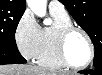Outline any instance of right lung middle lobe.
<instances>
[{"mask_svg":"<svg viewBox=\"0 0 102 75\" xmlns=\"http://www.w3.org/2000/svg\"><path fill=\"white\" fill-rule=\"evenodd\" d=\"M24 10L0 8V50H18L15 31Z\"/></svg>","mask_w":102,"mask_h":75,"instance_id":"dd1d6c3e","label":"right lung middle lobe"}]
</instances>
